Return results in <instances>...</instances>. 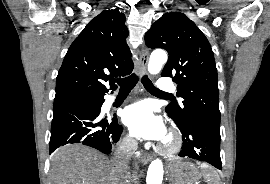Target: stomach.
I'll use <instances>...</instances> for the list:
<instances>
[{
	"mask_svg": "<svg viewBox=\"0 0 270 184\" xmlns=\"http://www.w3.org/2000/svg\"><path fill=\"white\" fill-rule=\"evenodd\" d=\"M200 177L201 174L193 163L174 160L168 165V178L173 184H197Z\"/></svg>",
	"mask_w": 270,
	"mask_h": 184,
	"instance_id": "1",
	"label": "stomach"
}]
</instances>
